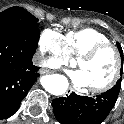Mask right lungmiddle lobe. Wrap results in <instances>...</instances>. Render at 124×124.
<instances>
[{
	"mask_svg": "<svg viewBox=\"0 0 124 124\" xmlns=\"http://www.w3.org/2000/svg\"><path fill=\"white\" fill-rule=\"evenodd\" d=\"M38 27V19L24 8L11 7L0 13V33H37Z\"/></svg>",
	"mask_w": 124,
	"mask_h": 124,
	"instance_id": "dd1d6c3e",
	"label": "right lung middle lobe"
}]
</instances>
